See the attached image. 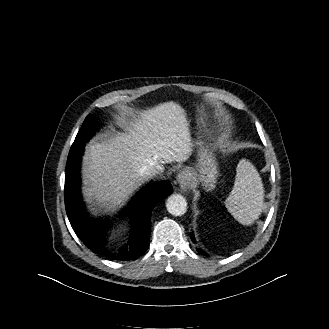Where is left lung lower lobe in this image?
Masks as SVG:
<instances>
[{"mask_svg":"<svg viewBox=\"0 0 329 329\" xmlns=\"http://www.w3.org/2000/svg\"><path fill=\"white\" fill-rule=\"evenodd\" d=\"M192 239H193V241H194V238H193V235H192ZM198 251L201 253V254H203V255H207L205 252H203L201 249H198Z\"/></svg>","mask_w":329,"mask_h":329,"instance_id":"obj_1","label":"left lung lower lobe"}]
</instances>
